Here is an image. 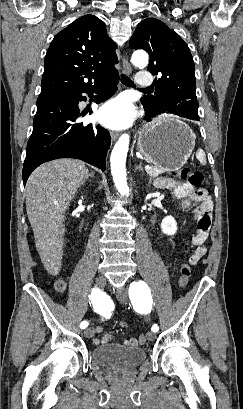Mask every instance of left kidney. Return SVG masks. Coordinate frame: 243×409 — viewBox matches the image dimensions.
Returning a JSON list of instances; mask_svg holds the SVG:
<instances>
[{
	"instance_id": "5707ae66",
	"label": "left kidney",
	"mask_w": 243,
	"mask_h": 409,
	"mask_svg": "<svg viewBox=\"0 0 243 409\" xmlns=\"http://www.w3.org/2000/svg\"><path fill=\"white\" fill-rule=\"evenodd\" d=\"M162 232L166 235H174L177 231V223L172 216H167L161 223Z\"/></svg>"
}]
</instances>
